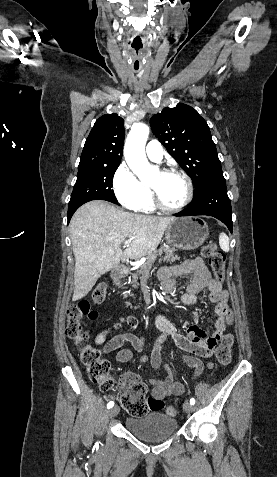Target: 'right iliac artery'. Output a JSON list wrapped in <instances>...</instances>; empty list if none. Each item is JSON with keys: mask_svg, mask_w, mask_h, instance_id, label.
Wrapping results in <instances>:
<instances>
[{"mask_svg": "<svg viewBox=\"0 0 277 477\" xmlns=\"http://www.w3.org/2000/svg\"><path fill=\"white\" fill-rule=\"evenodd\" d=\"M114 406V402L113 401H110L108 404H107V408L110 409Z\"/></svg>", "mask_w": 277, "mask_h": 477, "instance_id": "82829eb1", "label": "right iliac artery"}]
</instances>
